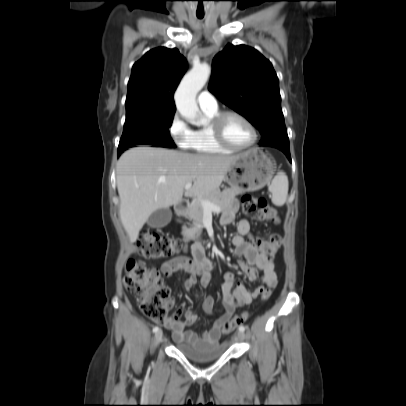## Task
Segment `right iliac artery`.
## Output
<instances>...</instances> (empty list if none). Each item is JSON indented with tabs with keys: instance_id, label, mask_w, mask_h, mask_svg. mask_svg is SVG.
I'll return each instance as SVG.
<instances>
[{
	"instance_id": "1",
	"label": "right iliac artery",
	"mask_w": 406,
	"mask_h": 406,
	"mask_svg": "<svg viewBox=\"0 0 406 406\" xmlns=\"http://www.w3.org/2000/svg\"><path fill=\"white\" fill-rule=\"evenodd\" d=\"M157 331H159V327H158V326H155V327L153 328V332L156 333Z\"/></svg>"
}]
</instances>
